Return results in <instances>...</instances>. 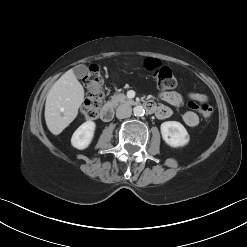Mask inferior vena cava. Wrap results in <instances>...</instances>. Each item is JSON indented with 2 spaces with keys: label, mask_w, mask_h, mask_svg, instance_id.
Listing matches in <instances>:
<instances>
[{
  "label": "inferior vena cava",
  "mask_w": 247,
  "mask_h": 247,
  "mask_svg": "<svg viewBox=\"0 0 247 247\" xmlns=\"http://www.w3.org/2000/svg\"><path fill=\"white\" fill-rule=\"evenodd\" d=\"M132 114V108L129 104H122L116 110V117L118 119H124L130 117Z\"/></svg>",
  "instance_id": "602c4592"
}]
</instances>
